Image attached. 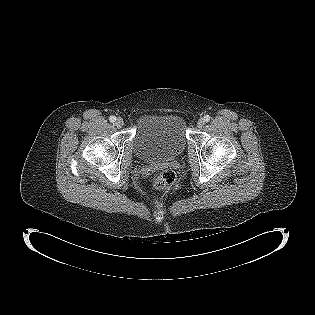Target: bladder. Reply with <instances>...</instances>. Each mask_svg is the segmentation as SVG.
Returning <instances> with one entry per match:
<instances>
[{"instance_id": "obj_1", "label": "bladder", "mask_w": 315, "mask_h": 315, "mask_svg": "<svg viewBox=\"0 0 315 315\" xmlns=\"http://www.w3.org/2000/svg\"><path fill=\"white\" fill-rule=\"evenodd\" d=\"M134 151L146 162H164L178 157L187 143L186 122L175 112L142 116L134 135Z\"/></svg>"}]
</instances>
